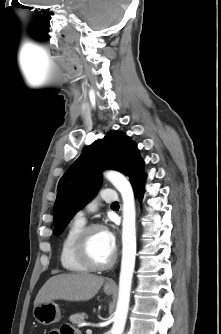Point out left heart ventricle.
Returning <instances> with one entry per match:
<instances>
[{"instance_id": "left-heart-ventricle-1", "label": "left heart ventricle", "mask_w": 221, "mask_h": 334, "mask_svg": "<svg viewBox=\"0 0 221 334\" xmlns=\"http://www.w3.org/2000/svg\"><path fill=\"white\" fill-rule=\"evenodd\" d=\"M89 251L93 259L99 263H106L114 253L109 245L105 230H96L92 233L89 241Z\"/></svg>"}]
</instances>
